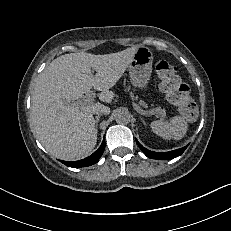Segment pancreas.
<instances>
[{
	"instance_id": "obj_1",
	"label": "pancreas",
	"mask_w": 231,
	"mask_h": 231,
	"mask_svg": "<svg viewBox=\"0 0 231 231\" xmlns=\"http://www.w3.org/2000/svg\"><path fill=\"white\" fill-rule=\"evenodd\" d=\"M141 105H143L144 107H147V104L143 101H141ZM154 112V114H157L161 117H164L166 115V111L165 109H162L161 107L155 108L154 110H152Z\"/></svg>"
}]
</instances>
